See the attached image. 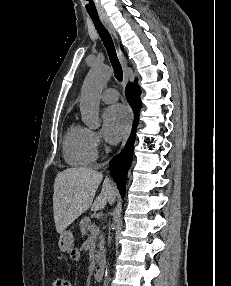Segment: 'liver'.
<instances>
[{
	"label": "liver",
	"mask_w": 231,
	"mask_h": 286,
	"mask_svg": "<svg viewBox=\"0 0 231 286\" xmlns=\"http://www.w3.org/2000/svg\"><path fill=\"white\" fill-rule=\"evenodd\" d=\"M103 174L90 168H68L55 178L53 213L56 230L62 233L75 219L91 208L101 210L109 202L114 203L117 190L109 178H105L101 193L94 200Z\"/></svg>",
	"instance_id": "6515ba94"
}]
</instances>
